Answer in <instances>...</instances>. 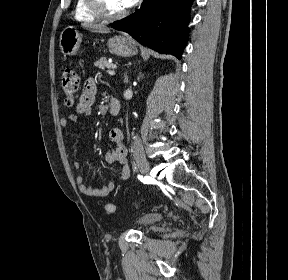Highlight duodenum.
<instances>
[{
	"label": "duodenum",
	"instance_id": "duodenum-1",
	"mask_svg": "<svg viewBox=\"0 0 288 280\" xmlns=\"http://www.w3.org/2000/svg\"><path fill=\"white\" fill-rule=\"evenodd\" d=\"M120 111V102L118 99L113 98L110 100L109 103V113L112 116H117L119 114Z\"/></svg>",
	"mask_w": 288,
	"mask_h": 280
}]
</instances>
